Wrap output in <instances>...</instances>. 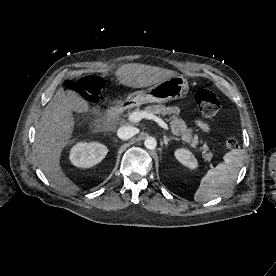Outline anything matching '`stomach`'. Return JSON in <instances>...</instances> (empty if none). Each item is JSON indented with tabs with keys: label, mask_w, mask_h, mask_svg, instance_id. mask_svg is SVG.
Returning a JSON list of instances; mask_svg holds the SVG:
<instances>
[{
	"label": "stomach",
	"mask_w": 276,
	"mask_h": 276,
	"mask_svg": "<svg viewBox=\"0 0 276 276\" xmlns=\"http://www.w3.org/2000/svg\"><path fill=\"white\" fill-rule=\"evenodd\" d=\"M188 92L189 84L187 79L181 75H175L145 90L128 94L124 103L131 106H140L145 103H165L185 98Z\"/></svg>",
	"instance_id": "1"
}]
</instances>
